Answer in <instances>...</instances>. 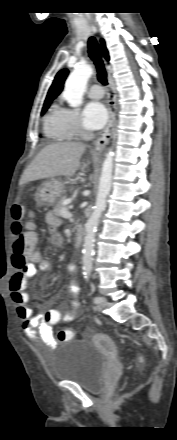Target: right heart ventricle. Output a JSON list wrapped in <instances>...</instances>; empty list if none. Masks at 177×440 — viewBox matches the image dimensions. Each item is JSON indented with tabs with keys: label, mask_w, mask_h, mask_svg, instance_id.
Returning a JSON list of instances; mask_svg holds the SVG:
<instances>
[{
	"label": "right heart ventricle",
	"mask_w": 177,
	"mask_h": 440,
	"mask_svg": "<svg viewBox=\"0 0 177 440\" xmlns=\"http://www.w3.org/2000/svg\"><path fill=\"white\" fill-rule=\"evenodd\" d=\"M44 133L52 141H63L68 136L63 132L57 107H53L44 118Z\"/></svg>",
	"instance_id": "1"
}]
</instances>
